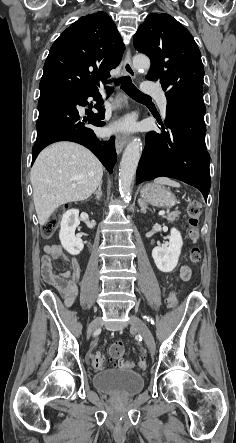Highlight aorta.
I'll return each mask as SVG.
<instances>
[{
  "instance_id": "762f6f07",
  "label": "aorta",
  "mask_w": 236,
  "mask_h": 443,
  "mask_svg": "<svg viewBox=\"0 0 236 443\" xmlns=\"http://www.w3.org/2000/svg\"><path fill=\"white\" fill-rule=\"evenodd\" d=\"M136 70L147 71L150 60L145 55H136L133 58ZM142 152V143L139 138H134L126 147L119 168V190L126 202L131 199L132 184Z\"/></svg>"
}]
</instances>
